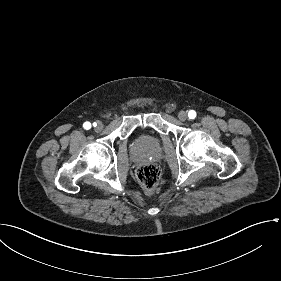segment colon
<instances>
[{
  "label": "colon",
  "mask_w": 281,
  "mask_h": 281,
  "mask_svg": "<svg viewBox=\"0 0 281 281\" xmlns=\"http://www.w3.org/2000/svg\"><path fill=\"white\" fill-rule=\"evenodd\" d=\"M137 179L145 190H153L159 181L160 170L157 164L147 163L140 166L136 172Z\"/></svg>",
  "instance_id": "1"
}]
</instances>
